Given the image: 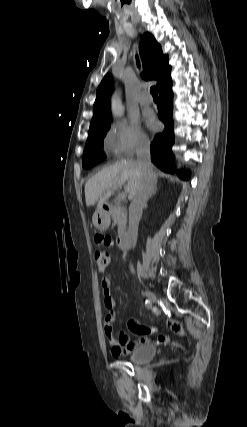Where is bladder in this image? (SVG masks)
Masks as SVG:
<instances>
[{
	"label": "bladder",
	"mask_w": 247,
	"mask_h": 427,
	"mask_svg": "<svg viewBox=\"0 0 247 427\" xmlns=\"http://www.w3.org/2000/svg\"><path fill=\"white\" fill-rule=\"evenodd\" d=\"M157 354V348L153 344L137 346L129 355V360L134 364H145L151 361Z\"/></svg>",
	"instance_id": "obj_1"
}]
</instances>
